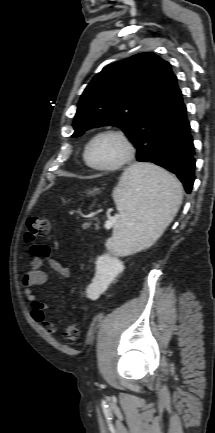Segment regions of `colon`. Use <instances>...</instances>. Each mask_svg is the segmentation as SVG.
Segmentation results:
<instances>
[{
	"mask_svg": "<svg viewBox=\"0 0 215 433\" xmlns=\"http://www.w3.org/2000/svg\"><path fill=\"white\" fill-rule=\"evenodd\" d=\"M50 230V221L48 218L31 217L27 222L25 232L26 242L32 243L39 239L45 238ZM80 335V326L78 324H69L64 327L63 336L67 340H76Z\"/></svg>",
	"mask_w": 215,
	"mask_h": 433,
	"instance_id": "1",
	"label": "colon"
}]
</instances>
